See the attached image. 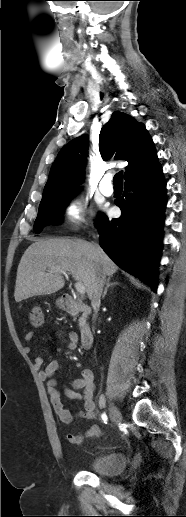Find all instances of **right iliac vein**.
<instances>
[{
    "label": "right iliac vein",
    "instance_id": "right-iliac-vein-1",
    "mask_svg": "<svg viewBox=\"0 0 186 517\" xmlns=\"http://www.w3.org/2000/svg\"><path fill=\"white\" fill-rule=\"evenodd\" d=\"M109 415H110L111 421L115 425L119 424L122 421L121 413L114 405H110Z\"/></svg>",
    "mask_w": 186,
    "mask_h": 517
}]
</instances>
